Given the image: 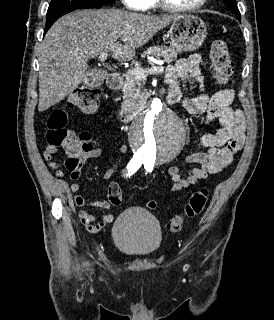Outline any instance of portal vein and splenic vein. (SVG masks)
Listing matches in <instances>:
<instances>
[{
  "label": "portal vein and splenic vein",
  "mask_w": 274,
  "mask_h": 320,
  "mask_svg": "<svg viewBox=\"0 0 274 320\" xmlns=\"http://www.w3.org/2000/svg\"><path fill=\"white\" fill-rule=\"evenodd\" d=\"M108 58V52H102L99 56L100 62H105ZM157 66H152V68H147V70H142V68H135V70H128V74H133L135 78H145V76H148L150 74L151 70H163L164 62H156Z\"/></svg>",
  "instance_id": "obj_1"
}]
</instances>
